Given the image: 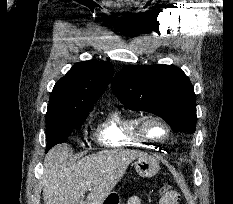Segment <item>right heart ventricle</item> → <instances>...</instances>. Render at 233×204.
Instances as JSON below:
<instances>
[{
    "label": "right heart ventricle",
    "mask_w": 233,
    "mask_h": 204,
    "mask_svg": "<svg viewBox=\"0 0 233 204\" xmlns=\"http://www.w3.org/2000/svg\"><path fill=\"white\" fill-rule=\"evenodd\" d=\"M137 120L136 115L119 108L110 110L96 127L97 142L105 147L149 146V141L136 130Z\"/></svg>",
    "instance_id": "right-heart-ventricle-1"
}]
</instances>
